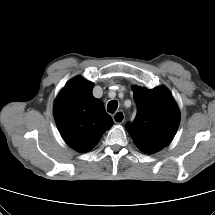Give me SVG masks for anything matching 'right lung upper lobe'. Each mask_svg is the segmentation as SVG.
<instances>
[{"label": "right lung upper lobe", "mask_w": 215, "mask_h": 215, "mask_svg": "<svg viewBox=\"0 0 215 215\" xmlns=\"http://www.w3.org/2000/svg\"><path fill=\"white\" fill-rule=\"evenodd\" d=\"M94 84L82 77L69 81L54 104V118L58 130L73 149L87 152L113 125L103 103L92 95Z\"/></svg>", "instance_id": "1"}]
</instances>
